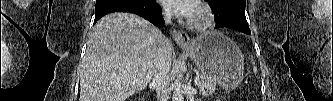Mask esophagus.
<instances>
[{"label": "esophagus", "instance_id": "34e87169", "mask_svg": "<svg viewBox=\"0 0 333 101\" xmlns=\"http://www.w3.org/2000/svg\"><path fill=\"white\" fill-rule=\"evenodd\" d=\"M172 36L173 39L175 40V42L181 46V47H187L190 44V38L188 36V34L184 31H177V30H173L172 31Z\"/></svg>", "mask_w": 333, "mask_h": 101}]
</instances>
